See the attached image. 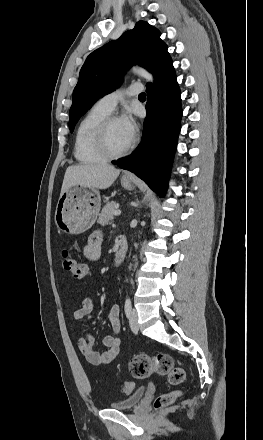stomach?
Here are the masks:
<instances>
[{"instance_id":"1","label":"stomach","mask_w":263,"mask_h":440,"mask_svg":"<svg viewBox=\"0 0 263 440\" xmlns=\"http://www.w3.org/2000/svg\"><path fill=\"white\" fill-rule=\"evenodd\" d=\"M121 184L127 190L135 187L128 178H122ZM100 207L101 197L96 189L79 185L69 187L60 194L57 202L54 217L57 228L71 235L83 233L94 224Z\"/></svg>"}]
</instances>
